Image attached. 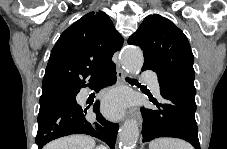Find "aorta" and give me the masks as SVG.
Here are the masks:
<instances>
[{
  "mask_svg": "<svg viewBox=\"0 0 227 149\" xmlns=\"http://www.w3.org/2000/svg\"><path fill=\"white\" fill-rule=\"evenodd\" d=\"M121 63L130 74L141 70L144 58L138 47H127L122 51ZM139 137L138 124L134 119L125 121L119 131V141L122 149H134Z\"/></svg>",
  "mask_w": 227,
  "mask_h": 149,
  "instance_id": "1",
  "label": "aorta"
}]
</instances>
